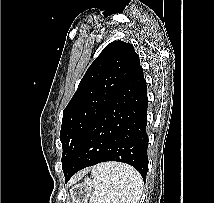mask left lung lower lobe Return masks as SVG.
<instances>
[{
    "label": "left lung lower lobe",
    "mask_w": 214,
    "mask_h": 203,
    "mask_svg": "<svg viewBox=\"0 0 214 203\" xmlns=\"http://www.w3.org/2000/svg\"><path fill=\"white\" fill-rule=\"evenodd\" d=\"M147 85L139 66L89 128L64 172L67 182L79 170L106 161L130 164L144 182L148 171Z\"/></svg>",
    "instance_id": "obj_1"
}]
</instances>
